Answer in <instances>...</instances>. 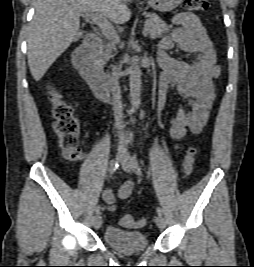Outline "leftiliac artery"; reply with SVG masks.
I'll return each instance as SVG.
<instances>
[{
	"label": "left iliac artery",
	"instance_id": "obj_1",
	"mask_svg": "<svg viewBox=\"0 0 254 267\" xmlns=\"http://www.w3.org/2000/svg\"><path fill=\"white\" fill-rule=\"evenodd\" d=\"M132 164H133V170L134 172L138 175V176H142V171L141 168L139 166L138 160H137V154L134 153L133 157H132ZM156 211L159 215H163V210L160 207L156 208Z\"/></svg>",
	"mask_w": 254,
	"mask_h": 267
}]
</instances>
